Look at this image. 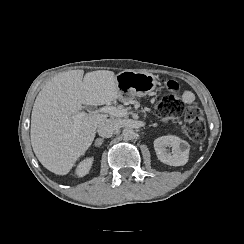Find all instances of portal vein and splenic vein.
Here are the masks:
<instances>
[{"instance_id":"portal-vein-and-splenic-vein-1","label":"portal vein and splenic vein","mask_w":244,"mask_h":244,"mask_svg":"<svg viewBox=\"0 0 244 244\" xmlns=\"http://www.w3.org/2000/svg\"><path fill=\"white\" fill-rule=\"evenodd\" d=\"M107 113L109 115L115 116V117H125L128 112L126 108H116L114 106H104L100 108L99 110L94 111V113ZM86 115L84 111L78 112L77 114L72 116V119L74 121V124L77 126L79 125L81 119Z\"/></svg>"}]
</instances>
